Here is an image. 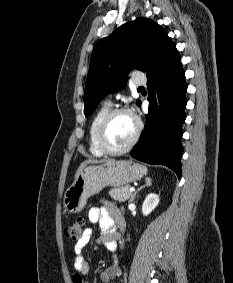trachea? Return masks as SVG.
Instances as JSON below:
<instances>
[{
	"mask_svg": "<svg viewBox=\"0 0 233 283\" xmlns=\"http://www.w3.org/2000/svg\"><path fill=\"white\" fill-rule=\"evenodd\" d=\"M138 89L141 90V89H144V88L143 87H139Z\"/></svg>",
	"mask_w": 233,
	"mask_h": 283,
	"instance_id": "1",
	"label": "trachea"
}]
</instances>
